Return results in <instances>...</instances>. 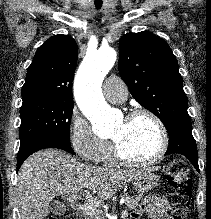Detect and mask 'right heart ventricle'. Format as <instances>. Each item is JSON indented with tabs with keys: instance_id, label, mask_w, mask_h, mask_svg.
I'll return each mask as SVG.
<instances>
[{
	"instance_id": "1",
	"label": "right heart ventricle",
	"mask_w": 211,
	"mask_h": 219,
	"mask_svg": "<svg viewBox=\"0 0 211 219\" xmlns=\"http://www.w3.org/2000/svg\"><path fill=\"white\" fill-rule=\"evenodd\" d=\"M104 164H107V165H113L116 160H115V157L112 153V150L110 149L102 158L101 160Z\"/></svg>"
}]
</instances>
